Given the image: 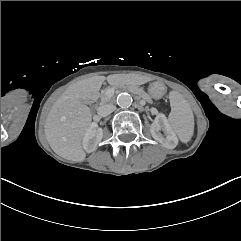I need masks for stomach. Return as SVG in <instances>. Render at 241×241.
Masks as SVG:
<instances>
[{
    "label": "stomach",
    "instance_id": "0dacf381",
    "mask_svg": "<svg viewBox=\"0 0 241 241\" xmlns=\"http://www.w3.org/2000/svg\"><path fill=\"white\" fill-rule=\"evenodd\" d=\"M149 95L154 99H160L166 93V86L161 82H153L148 88Z\"/></svg>",
    "mask_w": 241,
    "mask_h": 241
}]
</instances>
